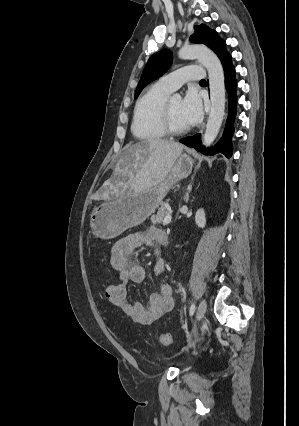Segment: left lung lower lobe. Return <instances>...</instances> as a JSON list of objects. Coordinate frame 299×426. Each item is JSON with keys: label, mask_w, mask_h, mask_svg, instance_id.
<instances>
[{"label": "left lung lower lobe", "mask_w": 299, "mask_h": 426, "mask_svg": "<svg viewBox=\"0 0 299 426\" xmlns=\"http://www.w3.org/2000/svg\"><path fill=\"white\" fill-rule=\"evenodd\" d=\"M219 59L224 68L225 83L228 91L229 98V111L226 127L221 140L212 148L207 149L202 146L201 135L196 134L191 137H186L180 140L181 143L188 147H193L197 151L206 154L214 155L215 153H222L226 157L230 158L232 155V143L231 137L234 133L233 123L236 116V80H235V69L231 63V56L226 49L220 51L218 54Z\"/></svg>", "instance_id": "0a47b994"}]
</instances>
